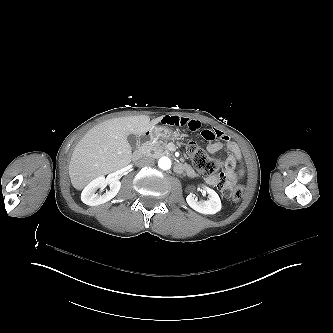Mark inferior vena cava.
I'll return each instance as SVG.
<instances>
[{
	"mask_svg": "<svg viewBox=\"0 0 333 333\" xmlns=\"http://www.w3.org/2000/svg\"><path fill=\"white\" fill-rule=\"evenodd\" d=\"M154 163L155 160L152 157L144 156L138 161L137 165L139 167H145V166H153Z\"/></svg>",
	"mask_w": 333,
	"mask_h": 333,
	"instance_id": "1",
	"label": "inferior vena cava"
}]
</instances>
